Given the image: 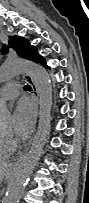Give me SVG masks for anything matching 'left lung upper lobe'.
<instances>
[{"instance_id":"obj_1","label":"left lung upper lobe","mask_w":89,"mask_h":203,"mask_svg":"<svg viewBox=\"0 0 89 203\" xmlns=\"http://www.w3.org/2000/svg\"><path fill=\"white\" fill-rule=\"evenodd\" d=\"M9 45L17 51V54L21 57H25L31 61L37 62L40 55L37 52V48L32 46L29 41L23 37L11 36L9 38ZM8 51V46L3 45L2 53L5 54Z\"/></svg>"}]
</instances>
